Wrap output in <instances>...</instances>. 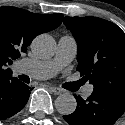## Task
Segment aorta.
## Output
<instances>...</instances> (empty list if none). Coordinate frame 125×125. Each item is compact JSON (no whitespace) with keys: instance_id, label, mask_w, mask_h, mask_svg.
<instances>
[{"instance_id":"762f6f07","label":"aorta","mask_w":125,"mask_h":125,"mask_svg":"<svg viewBox=\"0 0 125 125\" xmlns=\"http://www.w3.org/2000/svg\"><path fill=\"white\" fill-rule=\"evenodd\" d=\"M31 49L37 57L47 59L54 55L56 44L50 35L42 34L33 40ZM55 107L60 114L69 115L76 110L77 102L73 95L62 94L55 100Z\"/></svg>"}]
</instances>
